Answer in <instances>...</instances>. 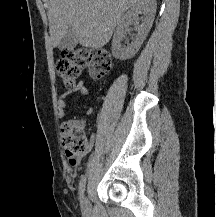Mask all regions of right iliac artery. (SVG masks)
<instances>
[{"label": "right iliac artery", "mask_w": 216, "mask_h": 217, "mask_svg": "<svg viewBox=\"0 0 216 217\" xmlns=\"http://www.w3.org/2000/svg\"><path fill=\"white\" fill-rule=\"evenodd\" d=\"M85 185H86V177L82 176L80 183H79V196H80V200L83 198V194L85 191Z\"/></svg>", "instance_id": "obj_1"}]
</instances>
